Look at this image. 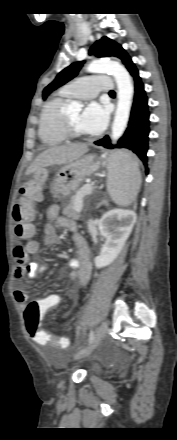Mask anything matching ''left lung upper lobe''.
Segmentation results:
<instances>
[{
  "instance_id": "5c2ea615",
  "label": "left lung upper lobe",
  "mask_w": 177,
  "mask_h": 440,
  "mask_svg": "<svg viewBox=\"0 0 177 440\" xmlns=\"http://www.w3.org/2000/svg\"><path fill=\"white\" fill-rule=\"evenodd\" d=\"M89 54H94L97 57H116L122 60L123 64L126 66L128 71L135 67L129 55L125 52V50L121 47V45L117 44L115 41L102 37L100 40L96 41L95 44L91 47ZM84 62H75L70 66L63 69L55 78L53 82H51L47 87H45L43 91V99L58 87L64 85L72 78H74L79 70L82 67Z\"/></svg>"
}]
</instances>
